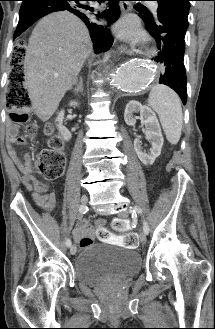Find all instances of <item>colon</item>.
<instances>
[{
  "instance_id": "1",
  "label": "colon",
  "mask_w": 215,
  "mask_h": 329,
  "mask_svg": "<svg viewBox=\"0 0 215 329\" xmlns=\"http://www.w3.org/2000/svg\"><path fill=\"white\" fill-rule=\"evenodd\" d=\"M21 44H28V37L20 38ZM16 55L11 56L10 68L12 69L10 84L8 86L6 101L10 111L11 120L20 125L26 126V135L34 137L36 126L31 122L30 110L31 101L27 88L25 87V77L22 68H25L26 56L24 50L18 47ZM46 132L50 135L49 147L42 149L36 156L34 165L35 169L46 179L55 180L62 176L65 169V155L62 152L61 139L52 134V128L47 127ZM113 227L116 231L123 233L122 245L129 249H135L138 246V237L135 233H129L128 224L125 220L115 219ZM112 235V234H111ZM92 243V238L84 236L81 244L87 246Z\"/></svg>"
}]
</instances>
